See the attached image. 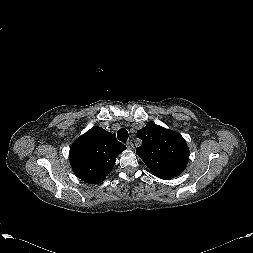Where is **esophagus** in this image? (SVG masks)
Here are the masks:
<instances>
[{
  "label": "esophagus",
  "mask_w": 253,
  "mask_h": 253,
  "mask_svg": "<svg viewBox=\"0 0 253 253\" xmlns=\"http://www.w3.org/2000/svg\"><path fill=\"white\" fill-rule=\"evenodd\" d=\"M126 147L129 149V150H132L134 148V144L131 142V141H128L126 143Z\"/></svg>",
  "instance_id": "34e87169"
}]
</instances>
